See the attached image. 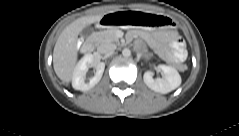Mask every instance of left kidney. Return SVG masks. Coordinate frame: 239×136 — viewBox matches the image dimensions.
<instances>
[{"instance_id": "1", "label": "left kidney", "mask_w": 239, "mask_h": 136, "mask_svg": "<svg viewBox=\"0 0 239 136\" xmlns=\"http://www.w3.org/2000/svg\"><path fill=\"white\" fill-rule=\"evenodd\" d=\"M157 70L163 73L162 78L154 79L151 71H146L143 75L144 83L150 89L166 94L180 86L181 76L175 68L167 65H159Z\"/></svg>"}]
</instances>
